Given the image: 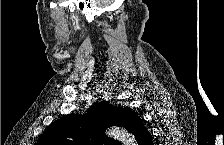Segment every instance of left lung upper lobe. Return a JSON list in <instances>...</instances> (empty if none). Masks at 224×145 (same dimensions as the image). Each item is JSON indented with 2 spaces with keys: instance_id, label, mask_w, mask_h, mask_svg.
<instances>
[{
  "instance_id": "left-lung-upper-lobe-1",
  "label": "left lung upper lobe",
  "mask_w": 224,
  "mask_h": 145,
  "mask_svg": "<svg viewBox=\"0 0 224 145\" xmlns=\"http://www.w3.org/2000/svg\"><path fill=\"white\" fill-rule=\"evenodd\" d=\"M135 116L137 113L129 107H116L102 101L85 115L68 114L52 123L37 145H120L105 135L106 128L116 125L131 133Z\"/></svg>"
}]
</instances>
